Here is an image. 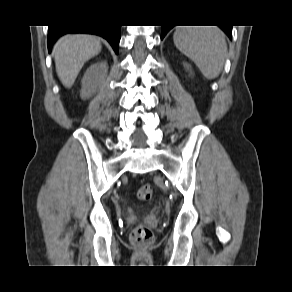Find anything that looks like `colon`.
I'll return each mask as SVG.
<instances>
[{"label": "colon", "mask_w": 292, "mask_h": 292, "mask_svg": "<svg viewBox=\"0 0 292 292\" xmlns=\"http://www.w3.org/2000/svg\"><path fill=\"white\" fill-rule=\"evenodd\" d=\"M153 190L148 184H145L138 188L136 195L139 200L149 201L152 198ZM153 241L152 230L144 225H137L131 232V242L133 244L142 245L148 244Z\"/></svg>", "instance_id": "1"}]
</instances>
